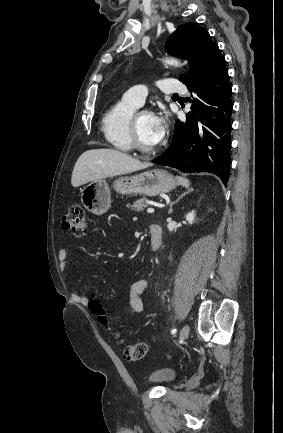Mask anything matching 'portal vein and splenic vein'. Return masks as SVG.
I'll list each match as a JSON object with an SVG mask.
<instances>
[{"label": "portal vein and splenic vein", "instance_id": "obj_1", "mask_svg": "<svg viewBox=\"0 0 283 433\" xmlns=\"http://www.w3.org/2000/svg\"><path fill=\"white\" fill-rule=\"evenodd\" d=\"M147 212H154V208H147Z\"/></svg>", "mask_w": 283, "mask_h": 433}]
</instances>
